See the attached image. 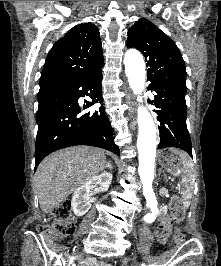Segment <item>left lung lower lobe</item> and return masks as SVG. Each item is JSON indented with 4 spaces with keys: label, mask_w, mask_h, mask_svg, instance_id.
<instances>
[{
    "label": "left lung lower lobe",
    "mask_w": 221,
    "mask_h": 266,
    "mask_svg": "<svg viewBox=\"0 0 221 266\" xmlns=\"http://www.w3.org/2000/svg\"><path fill=\"white\" fill-rule=\"evenodd\" d=\"M148 90L154 92L152 104L158 109L160 143L158 149L176 147L192 157V145L186 125V92L167 84L151 81Z\"/></svg>",
    "instance_id": "1"
}]
</instances>
